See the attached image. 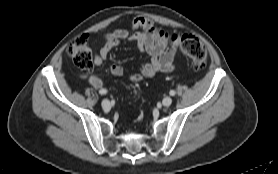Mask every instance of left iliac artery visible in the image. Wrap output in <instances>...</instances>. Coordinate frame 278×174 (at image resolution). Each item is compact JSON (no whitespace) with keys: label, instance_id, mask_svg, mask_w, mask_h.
Here are the masks:
<instances>
[{"label":"left iliac artery","instance_id":"1","mask_svg":"<svg viewBox=\"0 0 278 174\" xmlns=\"http://www.w3.org/2000/svg\"><path fill=\"white\" fill-rule=\"evenodd\" d=\"M169 94H170L171 96H174V95L176 94V92H175L174 90H171V91L169 92Z\"/></svg>","mask_w":278,"mask_h":174}]
</instances>
